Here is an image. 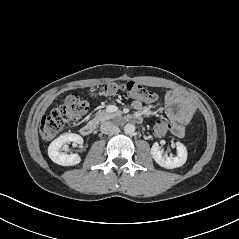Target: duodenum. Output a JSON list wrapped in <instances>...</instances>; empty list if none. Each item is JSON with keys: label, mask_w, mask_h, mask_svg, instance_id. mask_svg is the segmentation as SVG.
Masks as SVG:
<instances>
[{"label": "duodenum", "mask_w": 239, "mask_h": 239, "mask_svg": "<svg viewBox=\"0 0 239 239\" xmlns=\"http://www.w3.org/2000/svg\"><path fill=\"white\" fill-rule=\"evenodd\" d=\"M140 119L141 118L138 117V116H135V115L132 116V120H134L136 122H139ZM95 128H96V122L95 121H89L81 127L80 132H81L82 135L88 136V135H91L94 132Z\"/></svg>", "instance_id": "obj_1"}]
</instances>
